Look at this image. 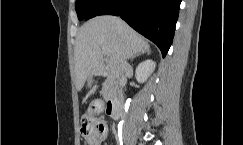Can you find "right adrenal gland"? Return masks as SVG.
Instances as JSON below:
<instances>
[{
  "mask_svg": "<svg viewBox=\"0 0 243 145\" xmlns=\"http://www.w3.org/2000/svg\"><path fill=\"white\" fill-rule=\"evenodd\" d=\"M150 53H151L150 50H148V51L146 52L147 55H150ZM142 54H143V53H138V54L134 55V56L132 57L131 61H133L135 58L141 56Z\"/></svg>",
  "mask_w": 243,
  "mask_h": 145,
  "instance_id": "obj_1",
  "label": "right adrenal gland"
}]
</instances>
